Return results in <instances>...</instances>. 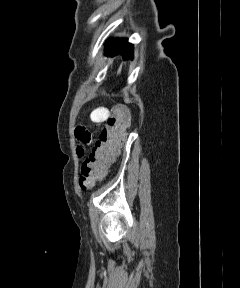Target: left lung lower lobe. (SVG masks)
Listing matches in <instances>:
<instances>
[{
    "label": "left lung lower lobe",
    "mask_w": 240,
    "mask_h": 288,
    "mask_svg": "<svg viewBox=\"0 0 240 288\" xmlns=\"http://www.w3.org/2000/svg\"><path fill=\"white\" fill-rule=\"evenodd\" d=\"M107 55L115 56L121 54L123 58H132L133 46L127 40H115L107 43Z\"/></svg>",
    "instance_id": "left-lung-lower-lobe-1"
}]
</instances>
